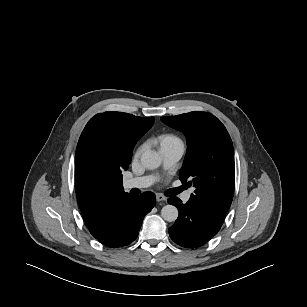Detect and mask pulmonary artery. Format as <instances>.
<instances>
[{"label":"pulmonary artery","mask_w":307,"mask_h":307,"mask_svg":"<svg viewBox=\"0 0 307 307\" xmlns=\"http://www.w3.org/2000/svg\"><path fill=\"white\" fill-rule=\"evenodd\" d=\"M184 145L182 142H176L171 144H166L160 147V154L163 160V166L165 169L172 168L184 154ZM155 182V177L151 175L140 176L129 178L124 181L125 189L132 188H147ZM191 197V191L185 192L182 195V200L184 202L189 201Z\"/></svg>","instance_id":"e3ab8cb5"}]
</instances>
